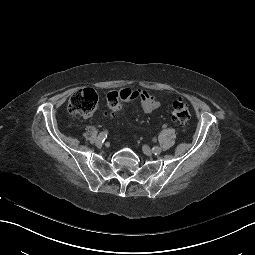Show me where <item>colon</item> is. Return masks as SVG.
<instances>
[{
	"instance_id": "colon-1",
	"label": "colon",
	"mask_w": 255,
	"mask_h": 255,
	"mask_svg": "<svg viewBox=\"0 0 255 255\" xmlns=\"http://www.w3.org/2000/svg\"><path fill=\"white\" fill-rule=\"evenodd\" d=\"M140 97V91L132 89H122L113 91L107 95V104L111 111H116L121 102L135 100ZM98 104V95L91 88L76 91L69 99L68 111L71 114L89 116L94 112ZM172 118L179 124L185 125L190 118L188 106L182 101H175L172 104Z\"/></svg>"
}]
</instances>
